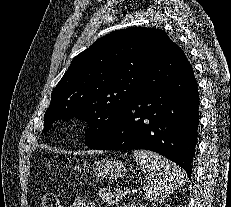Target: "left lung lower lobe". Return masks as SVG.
Here are the masks:
<instances>
[{
    "label": "left lung lower lobe",
    "instance_id": "0a47b994",
    "mask_svg": "<svg viewBox=\"0 0 231 207\" xmlns=\"http://www.w3.org/2000/svg\"><path fill=\"white\" fill-rule=\"evenodd\" d=\"M143 89L112 131L91 148L146 149L182 167L189 177L197 141L199 93L192 67L173 43L144 75Z\"/></svg>",
    "mask_w": 231,
    "mask_h": 207
}]
</instances>
